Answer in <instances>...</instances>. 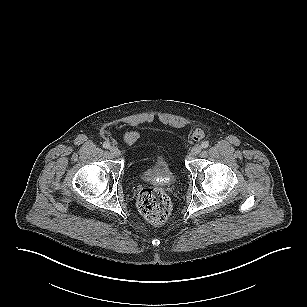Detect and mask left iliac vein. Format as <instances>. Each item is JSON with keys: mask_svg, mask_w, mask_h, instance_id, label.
<instances>
[{"mask_svg": "<svg viewBox=\"0 0 307 307\" xmlns=\"http://www.w3.org/2000/svg\"><path fill=\"white\" fill-rule=\"evenodd\" d=\"M201 150H202L201 145L196 144L195 146L192 147V149H191V154H192L193 156H197V155L201 152Z\"/></svg>", "mask_w": 307, "mask_h": 307, "instance_id": "obj_1", "label": "left iliac vein"}]
</instances>
